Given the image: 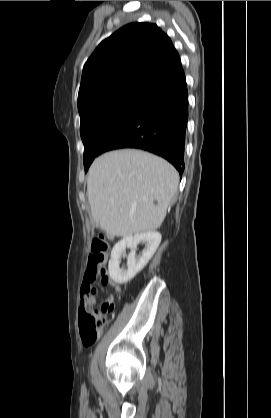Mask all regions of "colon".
Wrapping results in <instances>:
<instances>
[{"instance_id":"colon-1","label":"colon","mask_w":271,"mask_h":418,"mask_svg":"<svg viewBox=\"0 0 271 418\" xmlns=\"http://www.w3.org/2000/svg\"><path fill=\"white\" fill-rule=\"evenodd\" d=\"M108 243L103 237H96L91 244V251L88 259L87 279L91 284L97 280L105 283L109 280L104 263L107 259ZM95 291L88 288L83 294L84 307L79 313L80 334L84 346L93 345L100 330L106 324L107 315L114 310L112 297H108L99 310H93L88 303L94 299Z\"/></svg>"}]
</instances>
